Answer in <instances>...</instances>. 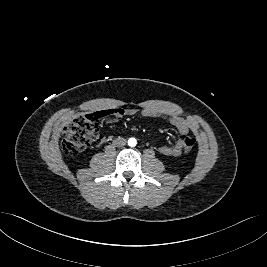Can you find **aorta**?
<instances>
[{
    "mask_svg": "<svg viewBox=\"0 0 267 267\" xmlns=\"http://www.w3.org/2000/svg\"><path fill=\"white\" fill-rule=\"evenodd\" d=\"M136 144H137V140H136L135 138H130V139L128 140V145H129L130 147H134V146H136Z\"/></svg>",
    "mask_w": 267,
    "mask_h": 267,
    "instance_id": "1",
    "label": "aorta"
}]
</instances>
